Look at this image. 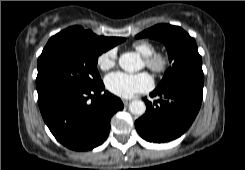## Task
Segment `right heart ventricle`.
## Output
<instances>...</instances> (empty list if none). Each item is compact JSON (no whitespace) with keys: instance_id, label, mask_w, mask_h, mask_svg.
I'll return each mask as SVG.
<instances>
[{"instance_id":"1","label":"right heart ventricle","mask_w":245,"mask_h":170,"mask_svg":"<svg viewBox=\"0 0 245 170\" xmlns=\"http://www.w3.org/2000/svg\"><path fill=\"white\" fill-rule=\"evenodd\" d=\"M132 47L143 57L150 56L156 51L155 45L147 40L137 41L133 43Z\"/></svg>"}]
</instances>
